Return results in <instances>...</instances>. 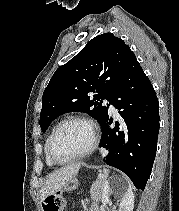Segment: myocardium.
Returning a JSON list of instances; mask_svg holds the SVG:
<instances>
[{
  "label": "myocardium",
  "mask_w": 179,
  "mask_h": 211,
  "mask_svg": "<svg viewBox=\"0 0 179 211\" xmlns=\"http://www.w3.org/2000/svg\"><path fill=\"white\" fill-rule=\"evenodd\" d=\"M71 122H83V123L87 124L90 127L91 132H92V140H91V143L88 146V148L85 149L83 152L79 153L78 155H76L68 160H59L55 157V155L53 153V143H54V140H55L58 132L61 130V128ZM98 142H99V130H98L96 123L89 117L81 116V115H74V116L65 118L64 120L59 122L56 125V127L53 129L51 136L49 138V141H48L47 153H48V156L53 164L67 165V164L73 163L75 161H78V160L90 155L96 149Z\"/></svg>",
  "instance_id": "1"
}]
</instances>
